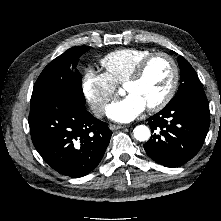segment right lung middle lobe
<instances>
[{"label": "right lung middle lobe", "mask_w": 221, "mask_h": 221, "mask_svg": "<svg viewBox=\"0 0 221 221\" xmlns=\"http://www.w3.org/2000/svg\"><path fill=\"white\" fill-rule=\"evenodd\" d=\"M89 49L88 46L70 48L49 63L35 83L30 106L45 104L58 95H70L77 101L85 103L82 78L74 68L79 57Z\"/></svg>", "instance_id": "obj_1"}]
</instances>
